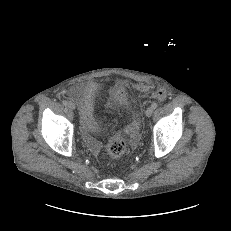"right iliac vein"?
I'll use <instances>...</instances> for the list:
<instances>
[{"instance_id":"obj_1","label":"right iliac vein","mask_w":231,"mask_h":231,"mask_svg":"<svg viewBox=\"0 0 231 231\" xmlns=\"http://www.w3.org/2000/svg\"><path fill=\"white\" fill-rule=\"evenodd\" d=\"M68 108L71 109V110H74L76 107H75V104L73 102H68L67 104Z\"/></svg>"}]
</instances>
